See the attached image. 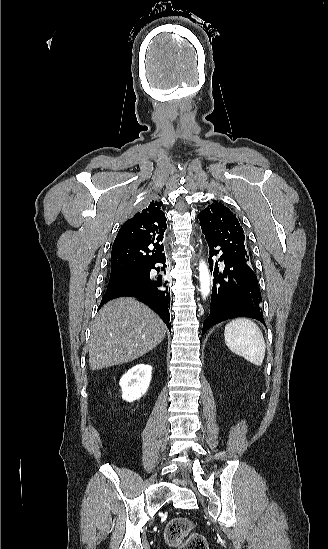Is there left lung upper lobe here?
Instances as JSON below:
<instances>
[{
    "mask_svg": "<svg viewBox=\"0 0 328 549\" xmlns=\"http://www.w3.org/2000/svg\"><path fill=\"white\" fill-rule=\"evenodd\" d=\"M198 218L206 241L220 250L248 264L249 256L245 248V234L236 216L218 201H213Z\"/></svg>",
    "mask_w": 328,
    "mask_h": 549,
    "instance_id": "left-lung-upper-lobe-1",
    "label": "left lung upper lobe"
}]
</instances>
